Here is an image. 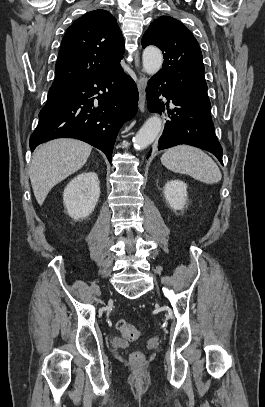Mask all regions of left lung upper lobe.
Returning a JSON list of instances; mask_svg holds the SVG:
<instances>
[{
    "mask_svg": "<svg viewBox=\"0 0 265 407\" xmlns=\"http://www.w3.org/2000/svg\"><path fill=\"white\" fill-rule=\"evenodd\" d=\"M148 45H155L163 52V67L158 73L184 96L211 110L202 53L190 30L172 17L161 16L142 37V46Z\"/></svg>",
    "mask_w": 265,
    "mask_h": 407,
    "instance_id": "left-lung-upper-lobe-1",
    "label": "left lung upper lobe"
}]
</instances>
